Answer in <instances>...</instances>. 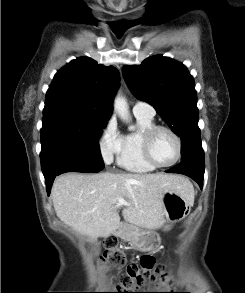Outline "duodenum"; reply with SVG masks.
Returning a JSON list of instances; mask_svg holds the SVG:
<instances>
[{
    "label": "duodenum",
    "instance_id": "duodenum-1",
    "mask_svg": "<svg viewBox=\"0 0 245 293\" xmlns=\"http://www.w3.org/2000/svg\"><path fill=\"white\" fill-rule=\"evenodd\" d=\"M117 231H118V226L114 225L112 227V235H117Z\"/></svg>",
    "mask_w": 245,
    "mask_h": 293
}]
</instances>
